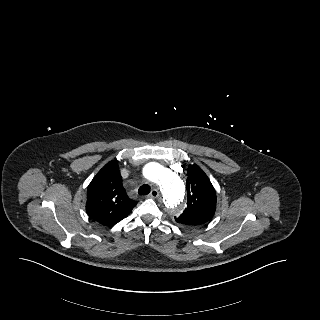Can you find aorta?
<instances>
[{"label":"aorta","mask_w":320,"mask_h":320,"mask_svg":"<svg viewBox=\"0 0 320 320\" xmlns=\"http://www.w3.org/2000/svg\"><path fill=\"white\" fill-rule=\"evenodd\" d=\"M143 175L160 187L169 211L175 215L181 214L184 208V186L179 176L155 163L147 164L143 168Z\"/></svg>","instance_id":"aorta-1"}]
</instances>
